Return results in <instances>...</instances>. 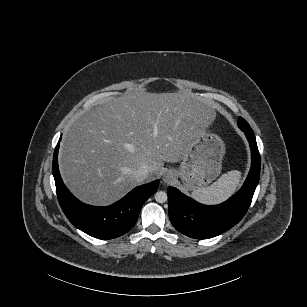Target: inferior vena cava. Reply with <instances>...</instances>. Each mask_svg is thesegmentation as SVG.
<instances>
[{"label": "inferior vena cava", "mask_w": 307, "mask_h": 307, "mask_svg": "<svg viewBox=\"0 0 307 307\" xmlns=\"http://www.w3.org/2000/svg\"><path fill=\"white\" fill-rule=\"evenodd\" d=\"M149 174V167L147 165H141L136 171L133 172V176L137 182H143Z\"/></svg>", "instance_id": "obj_1"}]
</instances>
